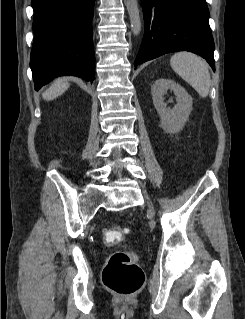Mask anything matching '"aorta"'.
<instances>
[{
	"label": "aorta",
	"instance_id": "1",
	"mask_svg": "<svg viewBox=\"0 0 245 319\" xmlns=\"http://www.w3.org/2000/svg\"><path fill=\"white\" fill-rule=\"evenodd\" d=\"M125 4L130 18L131 30L134 35H139L141 31V20L138 0H125Z\"/></svg>",
	"mask_w": 245,
	"mask_h": 319
}]
</instances>
